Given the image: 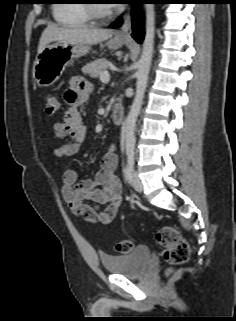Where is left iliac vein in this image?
Wrapping results in <instances>:
<instances>
[{"mask_svg": "<svg viewBox=\"0 0 236 321\" xmlns=\"http://www.w3.org/2000/svg\"><path fill=\"white\" fill-rule=\"evenodd\" d=\"M132 185L137 192H142L144 189L142 181L135 171L132 173Z\"/></svg>", "mask_w": 236, "mask_h": 321, "instance_id": "obj_1", "label": "left iliac vein"}]
</instances>
